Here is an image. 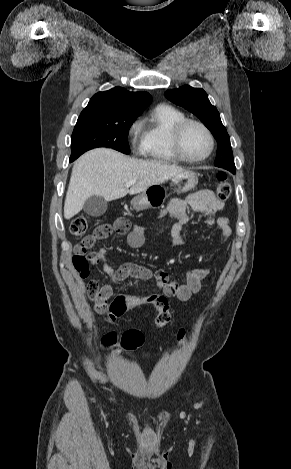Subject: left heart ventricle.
Segmentation results:
<instances>
[{
    "instance_id": "obj_1",
    "label": "left heart ventricle",
    "mask_w": 291,
    "mask_h": 469,
    "mask_svg": "<svg viewBox=\"0 0 291 469\" xmlns=\"http://www.w3.org/2000/svg\"><path fill=\"white\" fill-rule=\"evenodd\" d=\"M182 146L188 157L200 158L204 156L209 149V139L199 126L189 125L184 131Z\"/></svg>"
}]
</instances>
